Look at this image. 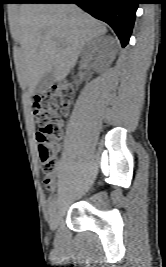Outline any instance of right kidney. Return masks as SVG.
<instances>
[{
  "label": "right kidney",
  "instance_id": "1",
  "mask_svg": "<svg viewBox=\"0 0 166 267\" xmlns=\"http://www.w3.org/2000/svg\"><path fill=\"white\" fill-rule=\"evenodd\" d=\"M101 39H95L88 43L87 47L84 50L83 58L87 60L97 49L101 46Z\"/></svg>",
  "mask_w": 166,
  "mask_h": 267
}]
</instances>
